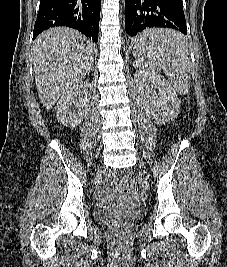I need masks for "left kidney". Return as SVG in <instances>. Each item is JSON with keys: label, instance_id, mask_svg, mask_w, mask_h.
<instances>
[{"label": "left kidney", "instance_id": "left-kidney-1", "mask_svg": "<svg viewBox=\"0 0 227 267\" xmlns=\"http://www.w3.org/2000/svg\"><path fill=\"white\" fill-rule=\"evenodd\" d=\"M134 82L147 114L155 123L165 124L178 116L180 100L171 84L159 77H147L142 70L134 74ZM158 90V96L155 91Z\"/></svg>", "mask_w": 227, "mask_h": 267}]
</instances>
